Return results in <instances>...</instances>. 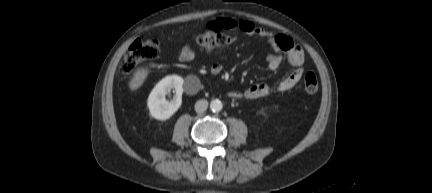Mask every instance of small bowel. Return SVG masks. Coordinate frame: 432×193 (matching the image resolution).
Masks as SVG:
<instances>
[{
	"label": "small bowel",
	"instance_id": "obj_1",
	"mask_svg": "<svg viewBox=\"0 0 432 193\" xmlns=\"http://www.w3.org/2000/svg\"><path fill=\"white\" fill-rule=\"evenodd\" d=\"M228 31H241L250 36H258L265 40L270 48L267 56L268 67L270 70L278 69L283 61V55H286L287 61L295 69L275 87L263 83H257L243 92L231 91L229 96L235 99H258L266 97L273 92H284L292 89L303 75L304 53L300 46L296 45L293 40L285 35L273 34L263 27L257 26L248 20H236L231 18L218 19L214 22ZM195 57V50L190 45L183 46L178 52V59L181 62H190ZM208 70L210 74L217 75L222 72L223 65L218 61H213ZM200 88L199 81L196 77H188L185 83V90L188 94H195Z\"/></svg>",
	"mask_w": 432,
	"mask_h": 193
}]
</instances>
